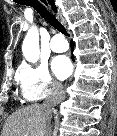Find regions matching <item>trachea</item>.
<instances>
[{"instance_id": "1", "label": "trachea", "mask_w": 117, "mask_h": 136, "mask_svg": "<svg viewBox=\"0 0 117 136\" xmlns=\"http://www.w3.org/2000/svg\"><path fill=\"white\" fill-rule=\"evenodd\" d=\"M20 4L33 7L51 26L57 29L59 32L69 37V34L65 27L55 18V16L49 12V10L38 0H20Z\"/></svg>"}]
</instances>
